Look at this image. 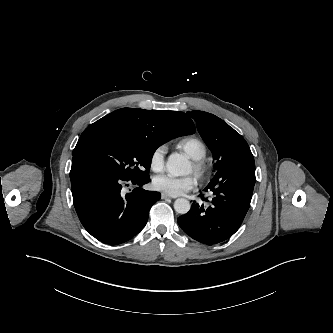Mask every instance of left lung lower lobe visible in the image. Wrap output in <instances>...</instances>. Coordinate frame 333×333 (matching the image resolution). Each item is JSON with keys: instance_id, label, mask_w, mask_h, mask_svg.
<instances>
[{"instance_id": "left-lung-lower-lobe-1", "label": "left lung lower lobe", "mask_w": 333, "mask_h": 333, "mask_svg": "<svg viewBox=\"0 0 333 333\" xmlns=\"http://www.w3.org/2000/svg\"><path fill=\"white\" fill-rule=\"evenodd\" d=\"M255 181L251 151L235 156L217 171L204 189L213 193L208 205L194 201L190 211L177 219L179 226L190 237L207 245L225 241L241 226Z\"/></svg>"}]
</instances>
